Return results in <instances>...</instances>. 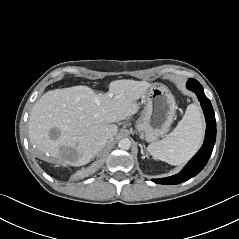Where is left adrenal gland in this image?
<instances>
[{
    "mask_svg": "<svg viewBox=\"0 0 239 239\" xmlns=\"http://www.w3.org/2000/svg\"><path fill=\"white\" fill-rule=\"evenodd\" d=\"M143 147H144V150L146 151V148H145V146H144V145H143ZM142 154H143V156H145V155H144V153H142ZM146 156H147V155H146Z\"/></svg>",
    "mask_w": 239,
    "mask_h": 239,
    "instance_id": "a2214340",
    "label": "left adrenal gland"
}]
</instances>
